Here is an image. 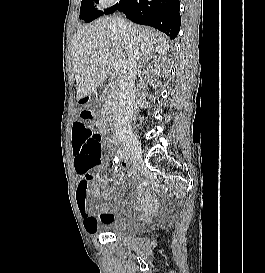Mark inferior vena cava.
<instances>
[{
  "mask_svg": "<svg viewBox=\"0 0 265 273\" xmlns=\"http://www.w3.org/2000/svg\"><path fill=\"white\" fill-rule=\"evenodd\" d=\"M117 23L127 46V61L124 66L119 87L118 109L115 119V132L117 135H130L133 105L135 98V78L140 59L139 46L131 25L123 18L117 17Z\"/></svg>",
  "mask_w": 265,
  "mask_h": 273,
  "instance_id": "1",
  "label": "inferior vena cava"
}]
</instances>
